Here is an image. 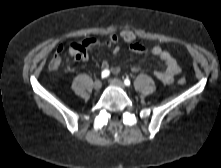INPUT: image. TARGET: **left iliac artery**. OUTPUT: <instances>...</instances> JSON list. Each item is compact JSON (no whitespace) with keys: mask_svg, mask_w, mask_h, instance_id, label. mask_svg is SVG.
I'll list each match as a JSON object with an SVG mask.
<instances>
[{"mask_svg":"<svg viewBox=\"0 0 221 168\" xmlns=\"http://www.w3.org/2000/svg\"><path fill=\"white\" fill-rule=\"evenodd\" d=\"M124 84H125L126 86H130L131 81H130L128 78H126V79L124 80Z\"/></svg>","mask_w":221,"mask_h":168,"instance_id":"obj_1","label":"left iliac artery"}]
</instances>
